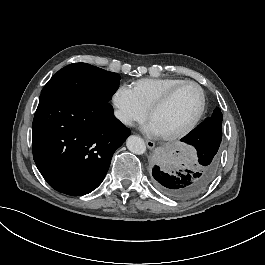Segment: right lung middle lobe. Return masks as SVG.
<instances>
[{
	"instance_id": "obj_1",
	"label": "right lung middle lobe",
	"mask_w": 265,
	"mask_h": 265,
	"mask_svg": "<svg viewBox=\"0 0 265 265\" xmlns=\"http://www.w3.org/2000/svg\"><path fill=\"white\" fill-rule=\"evenodd\" d=\"M119 80L117 73L85 63L70 64L48 81L41 96L51 94L109 102L119 87Z\"/></svg>"
}]
</instances>
